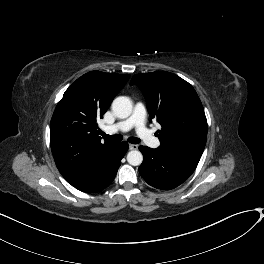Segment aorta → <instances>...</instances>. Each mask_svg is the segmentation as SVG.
<instances>
[{
  "mask_svg": "<svg viewBox=\"0 0 264 264\" xmlns=\"http://www.w3.org/2000/svg\"><path fill=\"white\" fill-rule=\"evenodd\" d=\"M112 111L115 116L124 119L132 113V102L128 97L119 96L112 102ZM127 161L132 166H138L143 161L142 153L138 150H132L127 154Z\"/></svg>",
  "mask_w": 264,
  "mask_h": 264,
  "instance_id": "1",
  "label": "aorta"
}]
</instances>
